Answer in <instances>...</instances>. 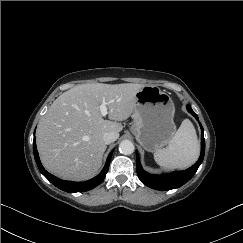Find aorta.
<instances>
[{
	"label": "aorta",
	"instance_id": "762f6f07",
	"mask_svg": "<svg viewBox=\"0 0 243 243\" xmlns=\"http://www.w3.org/2000/svg\"><path fill=\"white\" fill-rule=\"evenodd\" d=\"M134 144L130 140H123L119 144V151L124 155H130L134 152Z\"/></svg>",
	"mask_w": 243,
	"mask_h": 243
}]
</instances>
